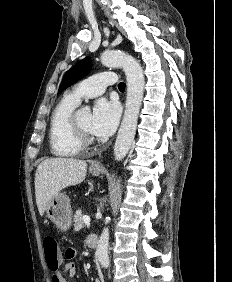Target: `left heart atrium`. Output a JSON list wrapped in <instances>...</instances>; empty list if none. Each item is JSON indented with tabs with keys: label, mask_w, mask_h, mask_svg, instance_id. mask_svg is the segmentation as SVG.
Returning a JSON list of instances; mask_svg holds the SVG:
<instances>
[{
	"label": "left heart atrium",
	"mask_w": 232,
	"mask_h": 282,
	"mask_svg": "<svg viewBox=\"0 0 232 282\" xmlns=\"http://www.w3.org/2000/svg\"><path fill=\"white\" fill-rule=\"evenodd\" d=\"M120 118V106L116 101L99 99L93 108L90 131L99 137L110 136L116 129Z\"/></svg>",
	"instance_id": "left-heart-atrium-1"
}]
</instances>
